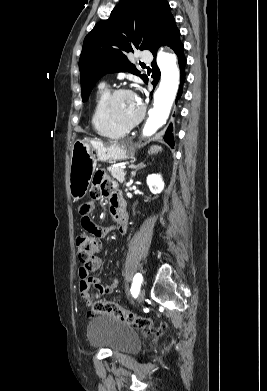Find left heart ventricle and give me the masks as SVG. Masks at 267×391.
Here are the masks:
<instances>
[{
	"label": "left heart ventricle",
	"mask_w": 267,
	"mask_h": 391,
	"mask_svg": "<svg viewBox=\"0 0 267 391\" xmlns=\"http://www.w3.org/2000/svg\"><path fill=\"white\" fill-rule=\"evenodd\" d=\"M113 112L120 122L130 123L140 112L138 99L129 93L119 95L114 101Z\"/></svg>",
	"instance_id": "1"
}]
</instances>
